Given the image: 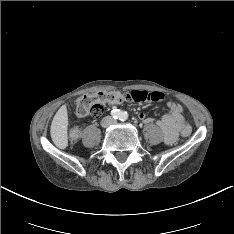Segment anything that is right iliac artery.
<instances>
[{"instance_id":"obj_1","label":"right iliac artery","mask_w":234,"mask_h":234,"mask_svg":"<svg viewBox=\"0 0 234 234\" xmlns=\"http://www.w3.org/2000/svg\"><path fill=\"white\" fill-rule=\"evenodd\" d=\"M111 115H112L113 118L118 119V118H120L121 113H120V111L118 109H114V110L111 111Z\"/></svg>"}]
</instances>
